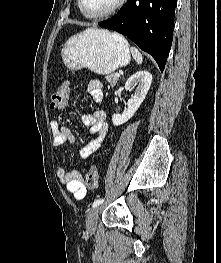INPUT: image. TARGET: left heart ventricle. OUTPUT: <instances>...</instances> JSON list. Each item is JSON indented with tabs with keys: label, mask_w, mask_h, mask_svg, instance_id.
Instances as JSON below:
<instances>
[{
	"label": "left heart ventricle",
	"mask_w": 221,
	"mask_h": 263,
	"mask_svg": "<svg viewBox=\"0 0 221 263\" xmlns=\"http://www.w3.org/2000/svg\"><path fill=\"white\" fill-rule=\"evenodd\" d=\"M117 0H83L85 10L91 14L101 13L112 7Z\"/></svg>",
	"instance_id": "left-heart-ventricle-1"
}]
</instances>
